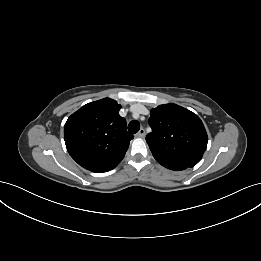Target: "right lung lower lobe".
Returning a JSON list of instances; mask_svg holds the SVG:
<instances>
[{
	"label": "right lung lower lobe",
	"mask_w": 261,
	"mask_h": 261,
	"mask_svg": "<svg viewBox=\"0 0 261 261\" xmlns=\"http://www.w3.org/2000/svg\"><path fill=\"white\" fill-rule=\"evenodd\" d=\"M118 164L110 165V166H94V167H88L86 168L89 171L102 173L110 171L111 169H114Z\"/></svg>",
	"instance_id": "1"
}]
</instances>
